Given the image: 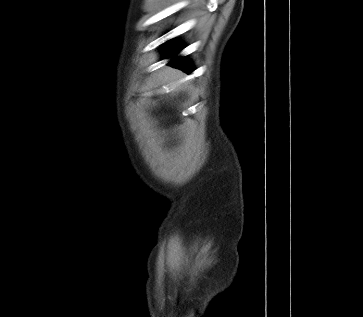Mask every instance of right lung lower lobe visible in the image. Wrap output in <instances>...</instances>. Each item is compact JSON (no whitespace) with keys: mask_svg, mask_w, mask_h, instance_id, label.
<instances>
[{"mask_svg":"<svg viewBox=\"0 0 363 317\" xmlns=\"http://www.w3.org/2000/svg\"><path fill=\"white\" fill-rule=\"evenodd\" d=\"M164 47L167 48V51L165 53V55L167 57H170V56L176 54L178 51H180V49L177 48L171 42H168ZM170 65L177 67L179 69H182L183 71H186L187 73L192 72V70L190 69L189 62H187L184 58H177V59L171 61Z\"/></svg>","mask_w":363,"mask_h":317,"instance_id":"obj_1","label":"right lung lower lobe"}]
</instances>
